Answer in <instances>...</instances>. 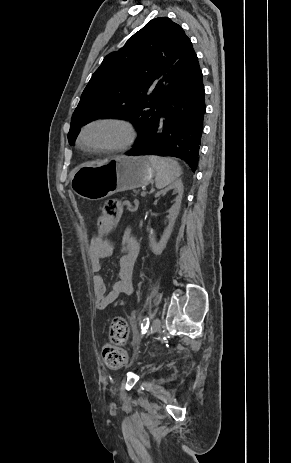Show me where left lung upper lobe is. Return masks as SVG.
<instances>
[{"mask_svg": "<svg viewBox=\"0 0 291 463\" xmlns=\"http://www.w3.org/2000/svg\"><path fill=\"white\" fill-rule=\"evenodd\" d=\"M199 68L183 29L167 17L152 19L92 75L71 118L70 145L81 126L109 116L129 120L139 139L170 92Z\"/></svg>", "mask_w": 291, "mask_h": 463, "instance_id": "5c2ea615", "label": "left lung upper lobe"}]
</instances>
